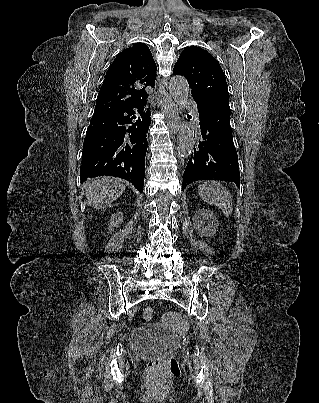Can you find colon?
<instances>
[{
    "label": "colon",
    "mask_w": 319,
    "mask_h": 403,
    "mask_svg": "<svg viewBox=\"0 0 319 403\" xmlns=\"http://www.w3.org/2000/svg\"><path fill=\"white\" fill-rule=\"evenodd\" d=\"M154 315L152 307H146L143 311L144 321H150ZM148 369L152 372L176 373V359L173 355L165 359H153L148 363Z\"/></svg>",
    "instance_id": "colon-1"
}]
</instances>
